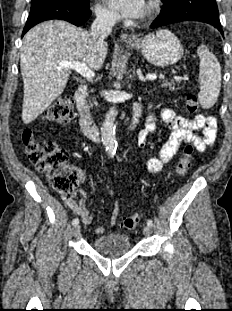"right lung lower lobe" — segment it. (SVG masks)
<instances>
[{"instance_id": "obj_1", "label": "right lung lower lobe", "mask_w": 232, "mask_h": 311, "mask_svg": "<svg viewBox=\"0 0 232 311\" xmlns=\"http://www.w3.org/2000/svg\"><path fill=\"white\" fill-rule=\"evenodd\" d=\"M91 15L90 9H83L72 4L60 2H47L31 6L22 36L36 24L51 20L61 19L71 22L76 26H81Z\"/></svg>"}]
</instances>
